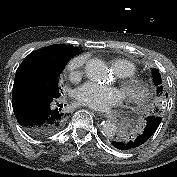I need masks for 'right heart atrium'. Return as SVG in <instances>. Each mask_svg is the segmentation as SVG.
I'll return each instance as SVG.
<instances>
[{
    "mask_svg": "<svg viewBox=\"0 0 177 177\" xmlns=\"http://www.w3.org/2000/svg\"><path fill=\"white\" fill-rule=\"evenodd\" d=\"M86 62V57L83 55L76 56L67 64V71L72 80L77 81L82 77L83 67Z\"/></svg>",
    "mask_w": 177,
    "mask_h": 177,
    "instance_id": "right-heart-atrium-1",
    "label": "right heart atrium"
}]
</instances>
